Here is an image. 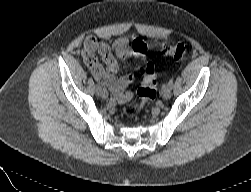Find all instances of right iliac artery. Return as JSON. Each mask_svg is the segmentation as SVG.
<instances>
[{"label": "right iliac artery", "mask_w": 251, "mask_h": 192, "mask_svg": "<svg viewBox=\"0 0 251 192\" xmlns=\"http://www.w3.org/2000/svg\"><path fill=\"white\" fill-rule=\"evenodd\" d=\"M101 89H102V87L100 86V85H96V91H97V93L99 94V92L101 91Z\"/></svg>", "instance_id": "1"}]
</instances>
